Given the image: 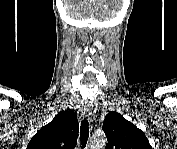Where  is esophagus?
Returning <instances> with one entry per match:
<instances>
[{
  "instance_id": "obj_1",
  "label": "esophagus",
  "mask_w": 177,
  "mask_h": 149,
  "mask_svg": "<svg viewBox=\"0 0 177 149\" xmlns=\"http://www.w3.org/2000/svg\"><path fill=\"white\" fill-rule=\"evenodd\" d=\"M84 114L85 116L91 120L93 116V107L90 104L84 106Z\"/></svg>"
}]
</instances>
